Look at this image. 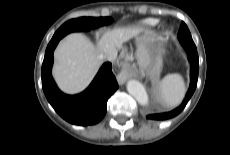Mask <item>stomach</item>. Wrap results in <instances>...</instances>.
<instances>
[{
	"label": "stomach",
	"mask_w": 230,
	"mask_h": 155,
	"mask_svg": "<svg viewBox=\"0 0 230 155\" xmlns=\"http://www.w3.org/2000/svg\"><path fill=\"white\" fill-rule=\"evenodd\" d=\"M162 52L161 46L156 42L155 35L145 33L137 39V56L138 58L154 57Z\"/></svg>",
	"instance_id": "0dacf381"
}]
</instances>
